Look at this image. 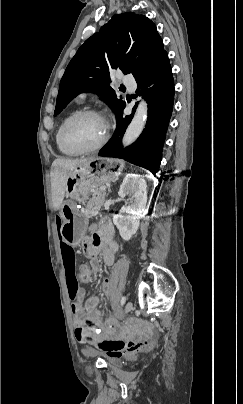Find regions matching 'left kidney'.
Here are the masks:
<instances>
[{"label":"left kidney","instance_id":"obj_1","mask_svg":"<svg viewBox=\"0 0 243 404\" xmlns=\"http://www.w3.org/2000/svg\"><path fill=\"white\" fill-rule=\"evenodd\" d=\"M118 194L120 198L130 196V202H127L129 206H123L120 214L113 216V224L118 228L121 238L128 242L136 234L142 214L146 210L147 184L139 174H127ZM123 214H126V216H123Z\"/></svg>","mask_w":243,"mask_h":404}]
</instances>
